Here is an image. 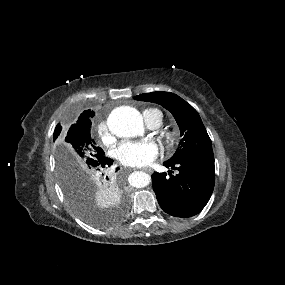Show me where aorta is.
I'll use <instances>...</instances> for the list:
<instances>
[{
	"label": "aorta",
	"mask_w": 285,
	"mask_h": 285,
	"mask_svg": "<svg viewBox=\"0 0 285 285\" xmlns=\"http://www.w3.org/2000/svg\"><path fill=\"white\" fill-rule=\"evenodd\" d=\"M107 125L110 132L117 137H134L144 131L142 115L130 106L115 108L107 119ZM128 180L131 186L143 188L150 183V176L145 172L136 171Z\"/></svg>",
	"instance_id": "aorta-1"
}]
</instances>
